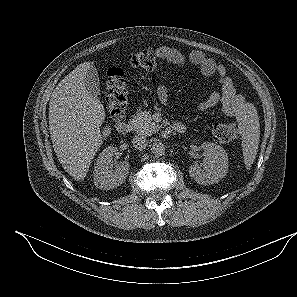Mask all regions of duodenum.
<instances>
[{
  "label": "duodenum",
  "mask_w": 297,
  "mask_h": 297,
  "mask_svg": "<svg viewBox=\"0 0 297 297\" xmlns=\"http://www.w3.org/2000/svg\"><path fill=\"white\" fill-rule=\"evenodd\" d=\"M134 122L133 121H122L117 124V132L122 135H126L133 130ZM185 131V125L182 123H175L167 127L163 134L169 135L171 133H183Z\"/></svg>",
  "instance_id": "obj_1"
}]
</instances>
